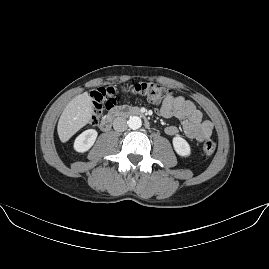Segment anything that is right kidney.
<instances>
[{"mask_svg":"<svg viewBox=\"0 0 269 269\" xmlns=\"http://www.w3.org/2000/svg\"><path fill=\"white\" fill-rule=\"evenodd\" d=\"M97 136V132L93 129H89L80 134L75 141V149L83 152L88 150L94 143Z\"/></svg>","mask_w":269,"mask_h":269,"instance_id":"ca27d5eb","label":"right kidney"}]
</instances>
